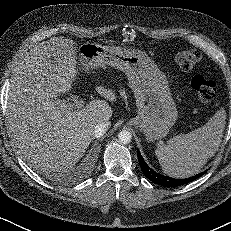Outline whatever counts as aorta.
I'll use <instances>...</instances> for the list:
<instances>
[{
  "label": "aorta",
  "mask_w": 231,
  "mask_h": 231,
  "mask_svg": "<svg viewBox=\"0 0 231 231\" xmlns=\"http://www.w3.org/2000/svg\"><path fill=\"white\" fill-rule=\"evenodd\" d=\"M118 139L121 143L123 144H128L131 142L132 135L129 131L127 130H122L118 134Z\"/></svg>",
  "instance_id": "aorta-1"
}]
</instances>
